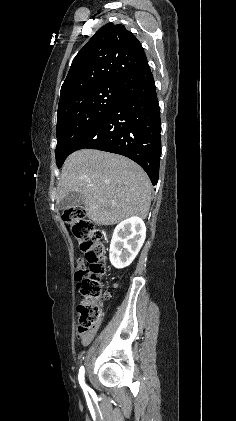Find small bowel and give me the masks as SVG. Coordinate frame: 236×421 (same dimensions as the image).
Returning <instances> with one entry per match:
<instances>
[{
    "mask_svg": "<svg viewBox=\"0 0 236 421\" xmlns=\"http://www.w3.org/2000/svg\"><path fill=\"white\" fill-rule=\"evenodd\" d=\"M96 331H97V328H95L92 331L82 335L81 338H80L82 343L83 344H89L92 341L93 337L95 336Z\"/></svg>",
    "mask_w": 236,
    "mask_h": 421,
    "instance_id": "c3829d8e",
    "label": "small bowel"
}]
</instances>
